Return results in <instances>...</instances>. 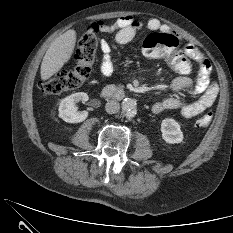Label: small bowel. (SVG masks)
Wrapping results in <instances>:
<instances>
[{
	"mask_svg": "<svg viewBox=\"0 0 233 233\" xmlns=\"http://www.w3.org/2000/svg\"><path fill=\"white\" fill-rule=\"evenodd\" d=\"M144 29L152 31H168V27L158 19H151L144 22L133 16H122L111 25L102 27L103 31L114 32V42L117 45H124L134 39V37ZM112 45L103 40L101 50L103 58L100 64L99 73L102 79H107L113 72V62L111 58ZM185 54L193 60L198 68L196 80H192L186 75L176 77L169 85L171 91H187L191 94H200L195 100L185 102L175 97H167L155 102L151 110L153 113L176 110L184 118L194 117L211 107L219 93L218 84L212 80L211 64L206 55L196 46L186 44L183 47Z\"/></svg>",
	"mask_w": 233,
	"mask_h": 233,
	"instance_id": "c3829d8e",
	"label": "small bowel"
}]
</instances>
